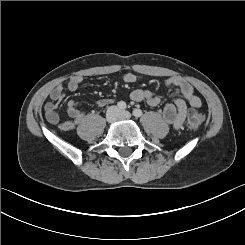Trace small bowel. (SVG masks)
<instances>
[{
	"mask_svg": "<svg viewBox=\"0 0 245 245\" xmlns=\"http://www.w3.org/2000/svg\"><path fill=\"white\" fill-rule=\"evenodd\" d=\"M122 79L126 83H133L136 76L131 73L124 74ZM81 76L71 77L67 82V87L70 91L78 89L82 83ZM166 86L173 88L179 92L184 99L176 98L173 102L168 103L163 109L164 121L178 129L184 124L187 115V104L190 107L197 109L201 106L200 98L194 93L193 87L190 83L179 76L170 77L165 82ZM64 89L61 85L56 86L50 92V101L45 104V118L48 123L57 126L61 131H69L74 129L84 118V114L80 112L78 104L74 100H70L67 104V112L70 117L69 120H61L57 109L64 99ZM130 97L135 102H146L150 107H157L161 104V99L152 91L145 89H135L131 92ZM112 99H101L96 102L99 108L105 107L112 103Z\"/></svg>",
	"mask_w": 245,
	"mask_h": 245,
	"instance_id": "1",
	"label": "small bowel"
}]
</instances>
